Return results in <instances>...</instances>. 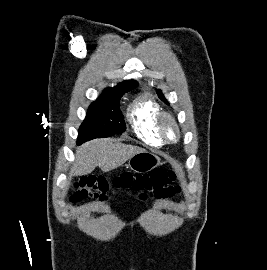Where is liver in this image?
Masks as SVG:
<instances>
[{
    "label": "liver",
    "instance_id": "liver-1",
    "mask_svg": "<svg viewBox=\"0 0 267 270\" xmlns=\"http://www.w3.org/2000/svg\"><path fill=\"white\" fill-rule=\"evenodd\" d=\"M143 151V148L125 145L111 138L93 140L76 149L75 163L71 167L70 175L89 174L96 166L103 172H109Z\"/></svg>",
    "mask_w": 267,
    "mask_h": 270
}]
</instances>
